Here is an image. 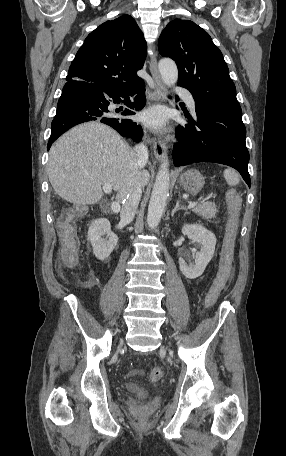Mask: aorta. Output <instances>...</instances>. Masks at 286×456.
<instances>
[{
	"label": "aorta",
	"instance_id": "762f6f07",
	"mask_svg": "<svg viewBox=\"0 0 286 456\" xmlns=\"http://www.w3.org/2000/svg\"><path fill=\"white\" fill-rule=\"evenodd\" d=\"M162 81L167 86H173L178 80V69L171 59H161L158 64ZM170 175L168 162L164 161L156 175L148 206L147 224L150 228L158 226L164 213L166 201L169 195Z\"/></svg>",
	"mask_w": 286,
	"mask_h": 456
}]
</instances>
